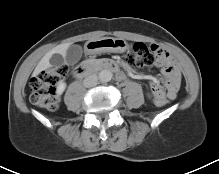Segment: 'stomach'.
Segmentation results:
<instances>
[{
	"instance_id": "0dacf381",
	"label": "stomach",
	"mask_w": 219,
	"mask_h": 174,
	"mask_svg": "<svg viewBox=\"0 0 219 174\" xmlns=\"http://www.w3.org/2000/svg\"><path fill=\"white\" fill-rule=\"evenodd\" d=\"M127 48L128 44L124 39L112 37L89 40L85 44V49L88 54H98L103 52L123 53Z\"/></svg>"
}]
</instances>
